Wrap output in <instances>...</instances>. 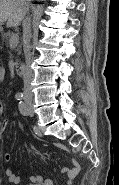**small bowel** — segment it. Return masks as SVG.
Listing matches in <instances>:
<instances>
[{
	"label": "small bowel",
	"mask_w": 119,
	"mask_h": 185,
	"mask_svg": "<svg viewBox=\"0 0 119 185\" xmlns=\"http://www.w3.org/2000/svg\"><path fill=\"white\" fill-rule=\"evenodd\" d=\"M4 78H5V69L0 68V80L3 81ZM3 111H4L3 105L0 104V112L3 113ZM8 125L9 123L7 120L2 121L1 129L3 133L7 130ZM56 146L60 149L67 150V148L60 143L56 144ZM3 159L5 162H10L12 159V156L10 153L6 152L3 155ZM79 171H80V165L76 160H73L71 167L62 168V173H64L67 177L68 185L72 184L73 180L79 174ZM5 176L10 182L15 184H18L21 181V177L19 175H16L11 169L5 170ZM30 180L34 183H41L42 185H54L51 179H45L43 175H32L30 176Z\"/></svg>",
	"instance_id": "obj_1"
}]
</instances>
